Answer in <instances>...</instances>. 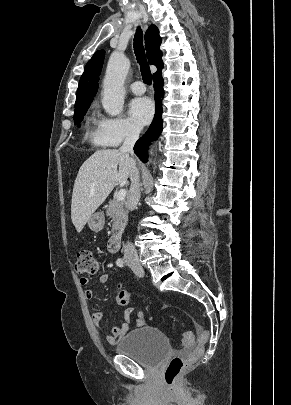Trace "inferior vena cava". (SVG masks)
Listing matches in <instances>:
<instances>
[{
    "label": "inferior vena cava",
    "mask_w": 291,
    "mask_h": 405,
    "mask_svg": "<svg viewBox=\"0 0 291 405\" xmlns=\"http://www.w3.org/2000/svg\"><path fill=\"white\" fill-rule=\"evenodd\" d=\"M139 134L140 131L138 129L129 128L120 152L133 154V147L139 138ZM130 180L131 185L127 196V206L129 210H134L140 199V175L135 162L132 164ZM124 259L126 262H138L139 260L137 251L130 242H127L124 247Z\"/></svg>",
    "instance_id": "obj_1"
}]
</instances>
